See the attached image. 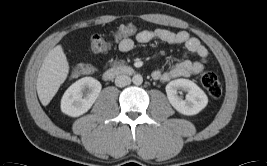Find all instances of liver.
<instances>
[{"instance_id":"obj_1","label":"liver","mask_w":267,"mask_h":166,"mask_svg":"<svg viewBox=\"0 0 267 166\" xmlns=\"http://www.w3.org/2000/svg\"><path fill=\"white\" fill-rule=\"evenodd\" d=\"M69 73V64L61 45L54 47L45 57L39 70L36 89L40 102L46 106L53 99Z\"/></svg>"}]
</instances>
